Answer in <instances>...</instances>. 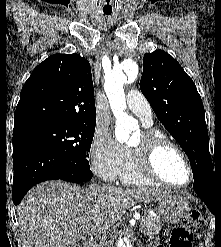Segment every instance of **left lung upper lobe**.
I'll list each match as a JSON object with an SVG mask.
<instances>
[{
  "mask_svg": "<svg viewBox=\"0 0 221 247\" xmlns=\"http://www.w3.org/2000/svg\"><path fill=\"white\" fill-rule=\"evenodd\" d=\"M140 89L188 156L194 181L213 173L204 106L194 82L177 60L162 50L145 54Z\"/></svg>",
  "mask_w": 221,
  "mask_h": 247,
  "instance_id": "1",
  "label": "left lung upper lobe"
}]
</instances>
